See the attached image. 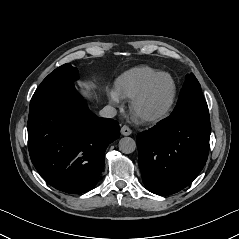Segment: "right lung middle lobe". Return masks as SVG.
Masks as SVG:
<instances>
[{
	"instance_id": "dd1d6c3e",
	"label": "right lung middle lobe",
	"mask_w": 239,
	"mask_h": 239,
	"mask_svg": "<svg viewBox=\"0 0 239 239\" xmlns=\"http://www.w3.org/2000/svg\"><path fill=\"white\" fill-rule=\"evenodd\" d=\"M78 79L77 68L71 66L70 63H66L53 72H51L40 84L35 93L32 96L31 103L48 93L49 91L72 84Z\"/></svg>"
}]
</instances>
